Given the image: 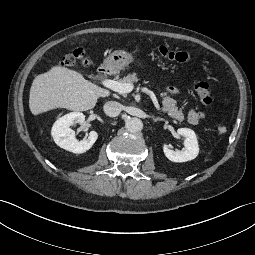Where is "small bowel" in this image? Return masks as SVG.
I'll return each instance as SVG.
<instances>
[{"label": "small bowel", "instance_id": "small-bowel-1", "mask_svg": "<svg viewBox=\"0 0 255 255\" xmlns=\"http://www.w3.org/2000/svg\"><path fill=\"white\" fill-rule=\"evenodd\" d=\"M167 92H169L171 94H178V91L173 87H169L167 89ZM204 117H205V115L203 112L198 111L194 108L189 109V111L187 113L188 122L193 125L200 123L204 119Z\"/></svg>", "mask_w": 255, "mask_h": 255}]
</instances>
